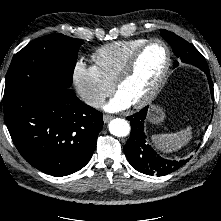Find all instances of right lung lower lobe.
Segmentation results:
<instances>
[{"instance_id": "1", "label": "right lung lower lobe", "mask_w": 221, "mask_h": 221, "mask_svg": "<svg viewBox=\"0 0 221 221\" xmlns=\"http://www.w3.org/2000/svg\"><path fill=\"white\" fill-rule=\"evenodd\" d=\"M3 107L12 140L33 167L60 177L79 171L90 160L103 116L70 88L48 83L36 93H5Z\"/></svg>"}]
</instances>
